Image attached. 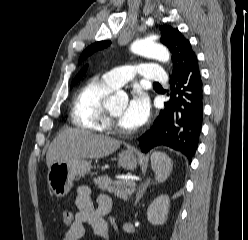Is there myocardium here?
<instances>
[{
    "instance_id": "f54148a6",
    "label": "myocardium",
    "mask_w": 248,
    "mask_h": 240,
    "mask_svg": "<svg viewBox=\"0 0 248 240\" xmlns=\"http://www.w3.org/2000/svg\"><path fill=\"white\" fill-rule=\"evenodd\" d=\"M105 123L106 127L121 134L130 133V130L123 128L117 120L113 117L108 109H105Z\"/></svg>"
}]
</instances>
